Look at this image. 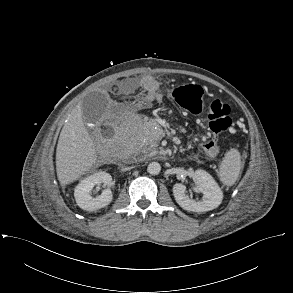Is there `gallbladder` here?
Wrapping results in <instances>:
<instances>
[{"instance_id":"1","label":"gallbladder","mask_w":293,"mask_h":293,"mask_svg":"<svg viewBox=\"0 0 293 293\" xmlns=\"http://www.w3.org/2000/svg\"><path fill=\"white\" fill-rule=\"evenodd\" d=\"M109 106V97L105 93L91 92L81 104L82 117L85 123H97Z\"/></svg>"}]
</instances>
